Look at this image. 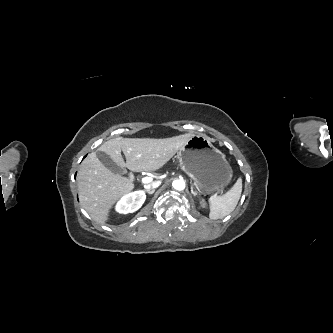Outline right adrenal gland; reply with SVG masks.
Listing matches in <instances>:
<instances>
[{
  "instance_id": "2a0ac1e0",
  "label": "right adrenal gland",
  "mask_w": 333,
  "mask_h": 333,
  "mask_svg": "<svg viewBox=\"0 0 333 333\" xmlns=\"http://www.w3.org/2000/svg\"><path fill=\"white\" fill-rule=\"evenodd\" d=\"M145 192L148 193V194H154L155 190L154 189H152V190H145Z\"/></svg>"
}]
</instances>
